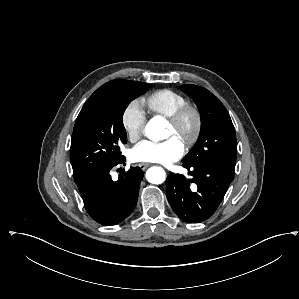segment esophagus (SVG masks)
<instances>
[{
  "mask_svg": "<svg viewBox=\"0 0 299 299\" xmlns=\"http://www.w3.org/2000/svg\"><path fill=\"white\" fill-rule=\"evenodd\" d=\"M150 164L149 163H139L138 166L141 170H145Z\"/></svg>",
  "mask_w": 299,
  "mask_h": 299,
  "instance_id": "1",
  "label": "esophagus"
}]
</instances>
